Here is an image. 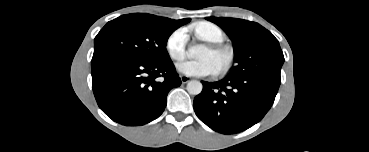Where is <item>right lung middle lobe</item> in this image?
<instances>
[{
  "label": "right lung middle lobe",
  "instance_id": "obj_1",
  "mask_svg": "<svg viewBox=\"0 0 369 152\" xmlns=\"http://www.w3.org/2000/svg\"><path fill=\"white\" fill-rule=\"evenodd\" d=\"M176 29L143 13L120 16L108 22L95 37L91 66L114 58L141 62L168 59L167 40Z\"/></svg>",
  "mask_w": 369,
  "mask_h": 152
}]
</instances>
